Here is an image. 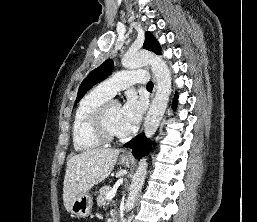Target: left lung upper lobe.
Returning a JSON list of instances; mask_svg holds the SVG:
<instances>
[{
	"label": "left lung upper lobe",
	"mask_w": 257,
	"mask_h": 222,
	"mask_svg": "<svg viewBox=\"0 0 257 222\" xmlns=\"http://www.w3.org/2000/svg\"><path fill=\"white\" fill-rule=\"evenodd\" d=\"M143 47L145 49L155 52L156 54H161L159 43L155 40V38L151 35L150 32H147L145 34V42ZM113 69H114L113 61L111 59H108L99 67L92 70L89 73V75L83 80V82L79 87L76 103L80 101V99L86 94V92L90 88H92L95 84L106 79L107 76L111 74Z\"/></svg>",
	"instance_id": "1"
}]
</instances>
